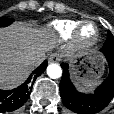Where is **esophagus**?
Here are the masks:
<instances>
[{
	"label": "esophagus",
	"instance_id": "esophagus-1",
	"mask_svg": "<svg viewBox=\"0 0 114 114\" xmlns=\"http://www.w3.org/2000/svg\"><path fill=\"white\" fill-rule=\"evenodd\" d=\"M60 60V57L58 54L56 53H52L49 57H48V62L49 63H56Z\"/></svg>",
	"mask_w": 114,
	"mask_h": 114
}]
</instances>
